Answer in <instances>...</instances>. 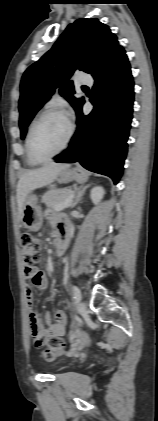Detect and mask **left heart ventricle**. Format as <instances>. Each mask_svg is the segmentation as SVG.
<instances>
[{"instance_id": "b2bd125f", "label": "left heart ventricle", "mask_w": 158, "mask_h": 421, "mask_svg": "<svg viewBox=\"0 0 158 421\" xmlns=\"http://www.w3.org/2000/svg\"><path fill=\"white\" fill-rule=\"evenodd\" d=\"M69 131L68 121L62 115L46 117L36 128L32 147L35 155L46 158L56 152L64 143Z\"/></svg>"}]
</instances>
